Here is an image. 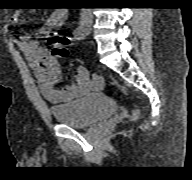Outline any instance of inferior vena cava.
I'll return each instance as SVG.
<instances>
[{
	"label": "inferior vena cava",
	"instance_id": "inferior-vena-cava-1",
	"mask_svg": "<svg viewBox=\"0 0 192 180\" xmlns=\"http://www.w3.org/2000/svg\"><path fill=\"white\" fill-rule=\"evenodd\" d=\"M82 17H89L91 18V11L89 9H83L82 13H81Z\"/></svg>",
	"mask_w": 192,
	"mask_h": 180
}]
</instances>
